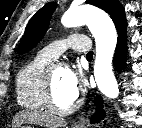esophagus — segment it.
I'll return each instance as SVG.
<instances>
[{"instance_id": "1", "label": "esophagus", "mask_w": 142, "mask_h": 128, "mask_svg": "<svg viewBox=\"0 0 142 128\" xmlns=\"http://www.w3.org/2000/svg\"><path fill=\"white\" fill-rule=\"evenodd\" d=\"M92 112L89 113L88 116L80 118L77 122L74 123L73 128H86L89 122V116Z\"/></svg>"}]
</instances>
